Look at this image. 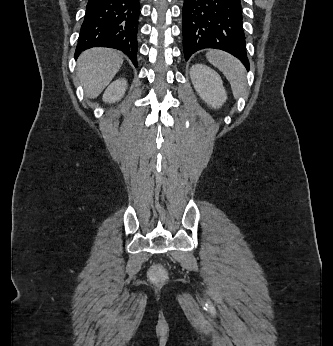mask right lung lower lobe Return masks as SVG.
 I'll return each mask as SVG.
<instances>
[{
    "label": "right lung lower lobe",
    "mask_w": 333,
    "mask_h": 346,
    "mask_svg": "<svg viewBox=\"0 0 333 346\" xmlns=\"http://www.w3.org/2000/svg\"><path fill=\"white\" fill-rule=\"evenodd\" d=\"M139 0H88L75 58L92 47L121 50L137 66Z\"/></svg>",
    "instance_id": "98d812e1"
}]
</instances>
